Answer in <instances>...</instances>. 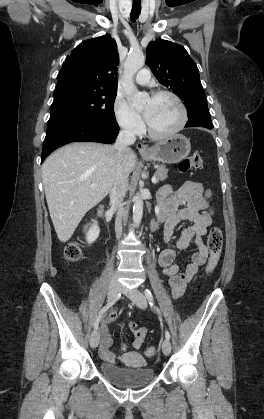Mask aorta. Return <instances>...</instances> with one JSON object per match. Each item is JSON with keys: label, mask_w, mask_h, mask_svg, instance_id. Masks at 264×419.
<instances>
[{"label": "aorta", "mask_w": 264, "mask_h": 419, "mask_svg": "<svg viewBox=\"0 0 264 419\" xmlns=\"http://www.w3.org/2000/svg\"><path fill=\"white\" fill-rule=\"evenodd\" d=\"M145 57L142 53H132L127 56L124 63L123 88L127 100L135 107H141L149 98L146 92H140L134 84L135 73L143 67ZM133 222L139 226L143 216V199L139 194L133 198Z\"/></svg>", "instance_id": "762f6f07"}]
</instances>
